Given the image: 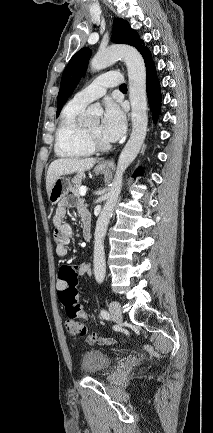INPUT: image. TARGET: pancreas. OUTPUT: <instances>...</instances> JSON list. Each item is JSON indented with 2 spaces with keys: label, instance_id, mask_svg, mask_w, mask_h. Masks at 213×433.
<instances>
[{
  "label": "pancreas",
  "instance_id": "cf45deb5",
  "mask_svg": "<svg viewBox=\"0 0 213 433\" xmlns=\"http://www.w3.org/2000/svg\"><path fill=\"white\" fill-rule=\"evenodd\" d=\"M82 177L76 176L72 179V186L70 187V191L75 195L79 196V189L81 187Z\"/></svg>",
  "mask_w": 213,
  "mask_h": 433
}]
</instances>
